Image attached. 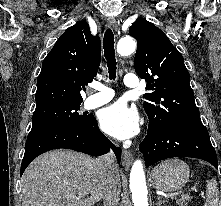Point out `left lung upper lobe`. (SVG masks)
I'll return each instance as SVG.
<instances>
[{
	"label": "left lung upper lobe",
	"instance_id": "5c2ea615",
	"mask_svg": "<svg viewBox=\"0 0 221 206\" xmlns=\"http://www.w3.org/2000/svg\"><path fill=\"white\" fill-rule=\"evenodd\" d=\"M129 33L138 42L135 71L150 90L144 94L148 102L143 103L149 118L148 132L203 127L180 52L162 30L144 19L136 20Z\"/></svg>",
	"mask_w": 221,
	"mask_h": 206
}]
</instances>
